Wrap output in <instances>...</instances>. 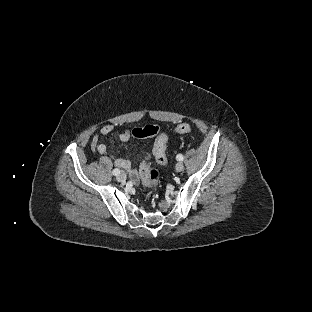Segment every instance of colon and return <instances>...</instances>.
<instances>
[{"label":"colon","instance_id":"obj_1","mask_svg":"<svg viewBox=\"0 0 312 312\" xmlns=\"http://www.w3.org/2000/svg\"><path fill=\"white\" fill-rule=\"evenodd\" d=\"M159 130L157 125H147L138 133L139 136H150L155 135ZM172 133H187L189 131V126L187 124H182L179 126L174 125L171 128ZM171 134L169 131H162L154 140L153 150L155 158L159 162H164L166 155L164 151V144L170 139ZM161 177V173L156 168H151L147 163H142L139 167V178L141 184L148 189H157L158 183Z\"/></svg>","mask_w":312,"mask_h":312}]
</instances>
